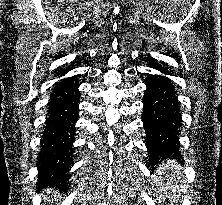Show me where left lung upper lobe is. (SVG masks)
Instances as JSON below:
<instances>
[{"label": "left lung upper lobe", "mask_w": 222, "mask_h": 205, "mask_svg": "<svg viewBox=\"0 0 222 205\" xmlns=\"http://www.w3.org/2000/svg\"><path fill=\"white\" fill-rule=\"evenodd\" d=\"M161 154H163V152L161 150H159L158 155H161Z\"/></svg>", "instance_id": "left-lung-upper-lobe-1"}]
</instances>
